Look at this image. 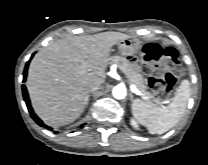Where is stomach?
I'll list each match as a JSON object with an SVG mask.
<instances>
[{"label":"stomach","instance_id":"obj_1","mask_svg":"<svg viewBox=\"0 0 208 165\" xmlns=\"http://www.w3.org/2000/svg\"><path fill=\"white\" fill-rule=\"evenodd\" d=\"M140 48V43L133 39L128 38L119 42V49L122 55H125L127 52H132L134 55H136Z\"/></svg>","mask_w":208,"mask_h":165}]
</instances>
